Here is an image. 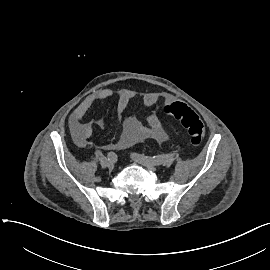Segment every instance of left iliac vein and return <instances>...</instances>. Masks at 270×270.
Returning a JSON list of instances; mask_svg holds the SVG:
<instances>
[{
  "mask_svg": "<svg viewBox=\"0 0 270 270\" xmlns=\"http://www.w3.org/2000/svg\"><path fill=\"white\" fill-rule=\"evenodd\" d=\"M132 158L135 162L143 165L144 167H146L148 170H151V171H155L156 170V166L155 164H153L151 161H149L147 158L145 157H141V156H138L136 154H133L132 155Z\"/></svg>",
  "mask_w": 270,
  "mask_h": 270,
  "instance_id": "left-iliac-vein-1",
  "label": "left iliac vein"
}]
</instances>
